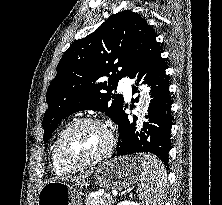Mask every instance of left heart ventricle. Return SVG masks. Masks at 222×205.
I'll return each instance as SVG.
<instances>
[{"label": "left heart ventricle", "mask_w": 222, "mask_h": 205, "mask_svg": "<svg viewBox=\"0 0 222 205\" xmlns=\"http://www.w3.org/2000/svg\"><path fill=\"white\" fill-rule=\"evenodd\" d=\"M107 141L104 130L93 124H82L64 138L62 151L70 161H85L98 155Z\"/></svg>", "instance_id": "obj_1"}]
</instances>
